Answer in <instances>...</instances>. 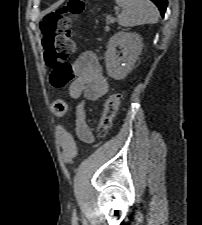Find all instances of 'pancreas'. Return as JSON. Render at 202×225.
Here are the masks:
<instances>
[{
  "instance_id": "1",
  "label": "pancreas",
  "mask_w": 202,
  "mask_h": 225,
  "mask_svg": "<svg viewBox=\"0 0 202 225\" xmlns=\"http://www.w3.org/2000/svg\"><path fill=\"white\" fill-rule=\"evenodd\" d=\"M106 22H107V24L112 23L109 18H107Z\"/></svg>"
}]
</instances>
